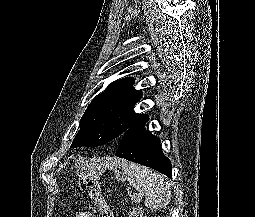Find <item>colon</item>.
I'll use <instances>...</instances> for the list:
<instances>
[{
	"mask_svg": "<svg viewBox=\"0 0 255 217\" xmlns=\"http://www.w3.org/2000/svg\"><path fill=\"white\" fill-rule=\"evenodd\" d=\"M88 190H89V194L92 198V200L94 201V203L96 204V206L102 210L103 212L106 213V209H105V200L101 194L100 188L98 186L97 183L89 181L88 182ZM129 217H143V211L139 206H134L130 209Z\"/></svg>",
	"mask_w": 255,
	"mask_h": 217,
	"instance_id": "1",
	"label": "colon"
}]
</instances>
